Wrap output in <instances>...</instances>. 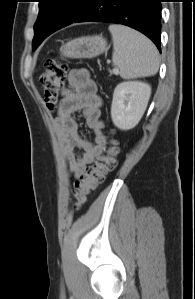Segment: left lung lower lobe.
Segmentation results:
<instances>
[{"mask_svg":"<svg viewBox=\"0 0 195 299\" xmlns=\"http://www.w3.org/2000/svg\"><path fill=\"white\" fill-rule=\"evenodd\" d=\"M162 0H90L75 22H110L134 28L160 51Z\"/></svg>","mask_w":195,"mask_h":299,"instance_id":"obj_1","label":"left lung lower lobe"}]
</instances>
